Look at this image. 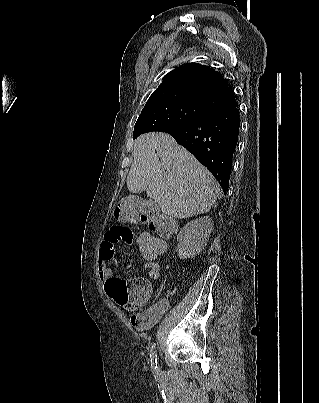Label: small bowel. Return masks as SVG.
<instances>
[{"label": "small bowel", "instance_id": "c3829d8e", "mask_svg": "<svg viewBox=\"0 0 319 403\" xmlns=\"http://www.w3.org/2000/svg\"><path fill=\"white\" fill-rule=\"evenodd\" d=\"M134 236L135 231L129 224H110L108 229H103L99 235L97 270L114 309H120L129 328L136 329L137 335H146L147 329L155 325L169 307L167 300H160L144 308L151 299L152 285L149 283L160 273L157 258H144L149 267L147 279L117 278L109 267L119 249L132 246Z\"/></svg>", "mask_w": 319, "mask_h": 403}]
</instances>
